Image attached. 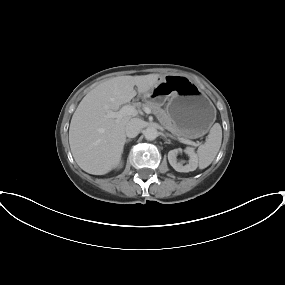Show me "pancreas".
Instances as JSON below:
<instances>
[{"label":"pancreas","instance_id":"obj_1","mask_svg":"<svg viewBox=\"0 0 285 285\" xmlns=\"http://www.w3.org/2000/svg\"><path fill=\"white\" fill-rule=\"evenodd\" d=\"M143 107L151 109L159 122L172 134L178 137H185L182 131L173 124L171 117L167 114V112L163 110L158 104L147 101L145 104H143Z\"/></svg>","mask_w":285,"mask_h":285}]
</instances>
